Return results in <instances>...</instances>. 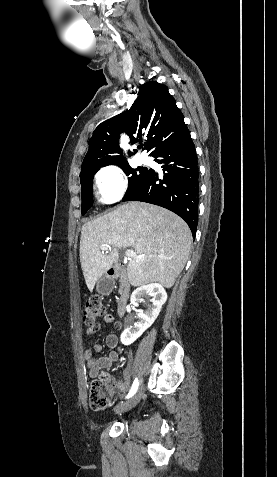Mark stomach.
I'll return each mask as SVG.
<instances>
[{
  "instance_id": "obj_1",
  "label": "stomach",
  "mask_w": 277,
  "mask_h": 477,
  "mask_svg": "<svg viewBox=\"0 0 277 477\" xmlns=\"http://www.w3.org/2000/svg\"><path fill=\"white\" fill-rule=\"evenodd\" d=\"M113 288V281L107 276H102L96 283V289L100 294L106 295L111 292Z\"/></svg>"
}]
</instances>
